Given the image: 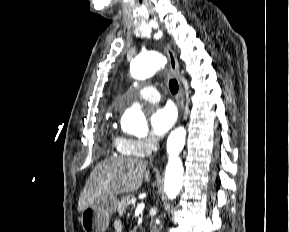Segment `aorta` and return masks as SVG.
I'll use <instances>...</instances> for the list:
<instances>
[{
	"mask_svg": "<svg viewBox=\"0 0 289 232\" xmlns=\"http://www.w3.org/2000/svg\"><path fill=\"white\" fill-rule=\"evenodd\" d=\"M164 66V56L157 51H151L135 57L131 63V74L135 79H147ZM121 125L124 131L136 136H144L148 132L147 121L139 104H134L125 111ZM185 140L186 130L183 127L172 131L167 140L168 164L164 191L170 200L177 197L183 186L184 170L179 154L184 148Z\"/></svg>",
	"mask_w": 289,
	"mask_h": 232,
	"instance_id": "1",
	"label": "aorta"
}]
</instances>
